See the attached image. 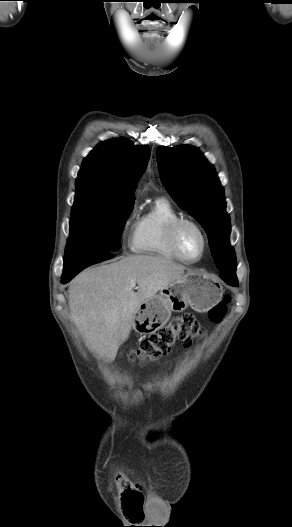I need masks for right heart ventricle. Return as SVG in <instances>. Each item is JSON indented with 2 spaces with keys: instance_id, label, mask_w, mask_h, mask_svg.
Listing matches in <instances>:
<instances>
[{
  "instance_id": "obj_1",
  "label": "right heart ventricle",
  "mask_w": 292,
  "mask_h": 527,
  "mask_svg": "<svg viewBox=\"0 0 292 527\" xmlns=\"http://www.w3.org/2000/svg\"><path fill=\"white\" fill-rule=\"evenodd\" d=\"M180 213L166 198H159L147 211L141 213L135 223L132 250L136 253L166 259H178L168 243V231Z\"/></svg>"
}]
</instances>
